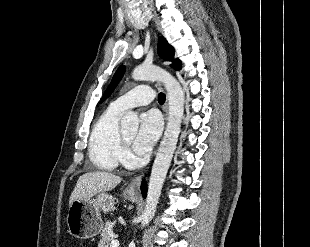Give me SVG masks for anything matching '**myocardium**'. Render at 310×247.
<instances>
[{"instance_id": "obj_1", "label": "myocardium", "mask_w": 310, "mask_h": 247, "mask_svg": "<svg viewBox=\"0 0 310 247\" xmlns=\"http://www.w3.org/2000/svg\"><path fill=\"white\" fill-rule=\"evenodd\" d=\"M121 140H122L124 150H128L130 142L125 138L123 133H121Z\"/></svg>"}]
</instances>
